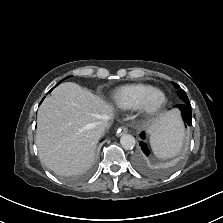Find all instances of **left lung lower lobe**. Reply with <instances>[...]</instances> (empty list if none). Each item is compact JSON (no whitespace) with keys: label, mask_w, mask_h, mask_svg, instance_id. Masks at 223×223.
Masks as SVG:
<instances>
[{"label":"left lung lower lobe","mask_w":223,"mask_h":223,"mask_svg":"<svg viewBox=\"0 0 223 223\" xmlns=\"http://www.w3.org/2000/svg\"><path fill=\"white\" fill-rule=\"evenodd\" d=\"M177 107L181 110L184 122L186 124H188L189 126H191L192 125V115H191L190 103H182V104L177 105ZM140 137L142 139H145V133H141ZM140 145H141V149H142L143 153L148 156L149 151L147 149L146 144L144 142H140ZM137 165L140 168H143V169L146 168V164L143 159H139L137 161Z\"/></svg>","instance_id":"obj_1"}]
</instances>
